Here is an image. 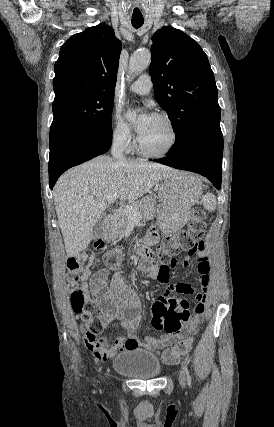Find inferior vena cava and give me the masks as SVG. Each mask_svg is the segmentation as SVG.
<instances>
[{
  "instance_id": "inferior-vena-cava-1",
  "label": "inferior vena cava",
  "mask_w": 274,
  "mask_h": 427,
  "mask_svg": "<svg viewBox=\"0 0 274 427\" xmlns=\"http://www.w3.org/2000/svg\"><path fill=\"white\" fill-rule=\"evenodd\" d=\"M125 140L124 138H114V142L111 148V156L117 158V160H126L124 156Z\"/></svg>"
}]
</instances>
